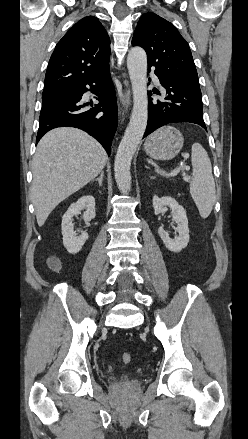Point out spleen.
Segmentation results:
<instances>
[{"instance_id": "spleen-1", "label": "spleen", "mask_w": 248, "mask_h": 439, "mask_svg": "<svg viewBox=\"0 0 248 439\" xmlns=\"http://www.w3.org/2000/svg\"><path fill=\"white\" fill-rule=\"evenodd\" d=\"M191 163L193 174L190 182V194L201 217L207 218L215 203L216 190L211 161L206 150L199 143L192 145ZM157 172L165 175L164 172Z\"/></svg>"}]
</instances>
